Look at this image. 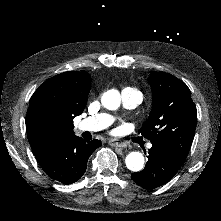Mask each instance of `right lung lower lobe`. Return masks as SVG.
<instances>
[{
  "instance_id": "obj_1",
  "label": "right lung lower lobe",
  "mask_w": 221,
  "mask_h": 221,
  "mask_svg": "<svg viewBox=\"0 0 221 221\" xmlns=\"http://www.w3.org/2000/svg\"><path fill=\"white\" fill-rule=\"evenodd\" d=\"M100 146L97 139L86 141L74 135L37 155L36 160L49 177L72 184L83 176L89 156Z\"/></svg>"
}]
</instances>
